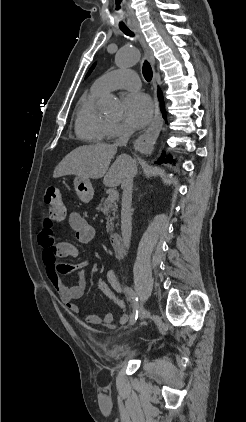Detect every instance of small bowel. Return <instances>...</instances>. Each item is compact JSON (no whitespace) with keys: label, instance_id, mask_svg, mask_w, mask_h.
Returning a JSON list of instances; mask_svg holds the SVG:
<instances>
[{"label":"small bowel","instance_id":"c3829d8e","mask_svg":"<svg viewBox=\"0 0 246 422\" xmlns=\"http://www.w3.org/2000/svg\"><path fill=\"white\" fill-rule=\"evenodd\" d=\"M69 225L75 232V237L80 243L87 244L96 237L94 227L77 212L70 214ZM53 228L54 220L48 216L44 219L42 228L38 234V242L42 247V258L46 267V274L67 311L72 315H78L79 308L73 301L81 298L87 289V281L82 275L81 270L89 264V261L85 260L76 264L61 263L59 261L60 259L77 258L79 252L77 247L72 243L66 241L57 242ZM71 271H78V273L74 284L67 287L64 285L61 276ZM95 287L118 306L125 309V302L117 298L112 292V290L117 293L122 292L114 269L109 268L106 271V279H99ZM128 320L129 314L123 312L119 318V323L126 324ZM86 321L96 326H112L113 315L111 313H106L103 316L90 314L86 317Z\"/></svg>","mask_w":246,"mask_h":422}]
</instances>
